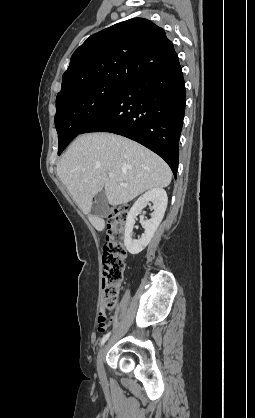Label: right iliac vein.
Returning a JSON list of instances; mask_svg holds the SVG:
<instances>
[{"label": "right iliac vein", "mask_w": 255, "mask_h": 418, "mask_svg": "<svg viewBox=\"0 0 255 418\" xmlns=\"http://www.w3.org/2000/svg\"><path fill=\"white\" fill-rule=\"evenodd\" d=\"M105 350H106V345L103 346V348L100 350L98 357H97V368L101 376H103L104 374L103 357H104Z\"/></svg>", "instance_id": "63e3f726"}]
</instances>
